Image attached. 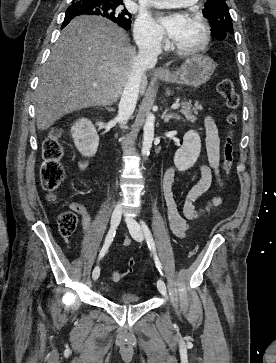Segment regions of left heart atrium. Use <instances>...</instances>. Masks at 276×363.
<instances>
[{"label":"left heart atrium","instance_id":"1","mask_svg":"<svg viewBox=\"0 0 276 363\" xmlns=\"http://www.w3.org/2000/svg\"><path fill=\"white\" fill-rule=\"evenodd\" d=\"M185 16L181 13H173L169 15H163L160 17V25L166 35L172 40L176 39L179 35Z\"/></svg>","mask_w":276,"mask_h":363}]
</instances>
